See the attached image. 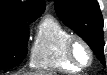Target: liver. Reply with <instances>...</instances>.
<instances>
[{
    "label": "liver",
    "instance_id": "obj_1",
    "mask_svg": "<svg viewBox=\"0 0 107 75\" xmlns=\"http://www.w3.org/2000/svg\"><path fill=\"white\" fill-rule=\"evenodd\" d=\"M15 75H22L20 73H17ZM23 75H46L45 73L43 72H30V73H27V74H23Z\"/></svg>",
    "mask_w": 107,
    "mask_h": 75
}]
</instances>
